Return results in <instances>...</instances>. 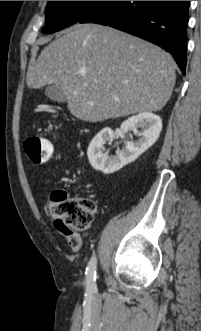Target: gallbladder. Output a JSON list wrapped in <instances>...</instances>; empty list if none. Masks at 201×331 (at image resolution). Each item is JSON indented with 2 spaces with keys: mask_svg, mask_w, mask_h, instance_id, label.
Returning <instances> with one entry per match:
<instances>
[{
  "mask_svg": "<svg viewBox=\"0 0 201 331\" xmlns=\"http://www.w3.org/2000/svg\"><path fill=\"white\" fill-rule=\"evenodd\" d=\"M45 95L53 101H57V102L66 101V96L64 94L63 89L61 88V86L56 84H52L48 86L45 90Z\"/></svg>",
  "mask_w": 201,
  "mask_h": 331,
  "instance_id": "obj_1",
  "label": "gallbladder"
}]
</instances>
